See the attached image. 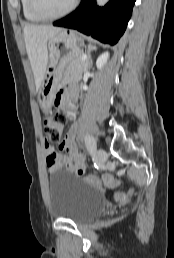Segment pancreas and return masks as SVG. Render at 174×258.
I'll return each instance as SVG.
<instances>
[{
  "label": "pancreas",
  "mask_w": 174,
  "mask_h": 258,
  "mask_svg": "<svg viewBox=\"0 0 174 258\" xmlns=\"http://www.w3.org/2000/svg\"><path fill=\"white\" fill-rule=\"evenodd\" d=\"M88 62L87 60H82V54L79 57L71 60L64 72L65 80L80 79L82 73L87 70Z\"/></svg>",
  "instance_id": "obj_1"
}]
</instances>
